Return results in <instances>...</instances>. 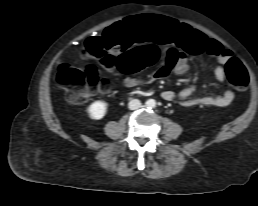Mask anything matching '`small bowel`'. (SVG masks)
I'll return each mask as SVG.
<instances>
[{"mask_svg":"<svg viewBox=\"0 0 258 206\" xmlns=\"http://www.w3.org/2000/svg\"><path fill=\"white\" fill-rule=\"evenodd\" d=\"M116 30V27H110L105 31L103 38L94 37L88 41H101L114 55H117L125 47L122 42L117 40ZM164 42L171 46L165 50L163 65L146 79L125 77L122 80V84L125 87H137L156 79L165 78L170 74H185L190 69L186 55L200 53L210 54L217 59L214 75L218 81H224L226 76L224 65L232 57V52L224 48L219 42L208 39L203 33L183 24L177 25L175 34L164 36ZM195 91L196 87L191 85L182 89L178 94L172 90H166L161 96L168 102H176L184 107L197 105L224 107L229 105L234 99V94L231 90H226L219 95L209 94L192 97Z\"/></svg>","mask_w":258,"mask_h":206,"instance_id":"small-bowel-1","label":"small bowel"}]
</instances>
